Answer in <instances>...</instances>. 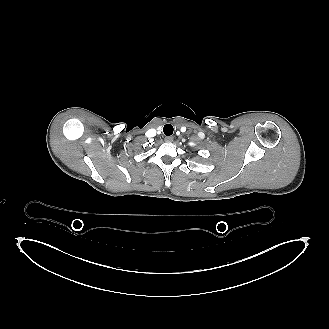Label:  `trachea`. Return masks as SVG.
I'll use <instances>...</instances> for the list:
<instances>
[{
    "label": "trachea",
    "mask_w": 329,
    "mask_h": 329,
    "mask_svg": "<svg viewBox=\"0 0 329 329\" xmlns=\"http://www.w3.org/2000/svg\"><path fill=\"white\" fill-rule=\"evenodd\" d=\"M173 131H174L173 126L170 124H166L163 128V132L166 136L172 135Z\"/></svg>",
    "instance_id": "3493384b"
}]
</instances>
